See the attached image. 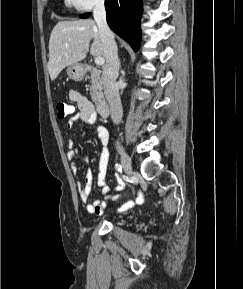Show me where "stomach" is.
Here are the masks:
<instances>
[{"mask_svg":"<svg viewBox=\"0 0 243 289\" xmlns=\"http://www.w3.org/2000/svg\"><path fill=\"white\" fill-rule=\"evenodd\" d=\"M66 72L67 75L75 81H81L86 74L85 67L78 63L68 66Z\"/></svg>","mask_w":243,"mask_h":289,"instance_id":"0dacf381","label":"stomach"}]
</instances>
